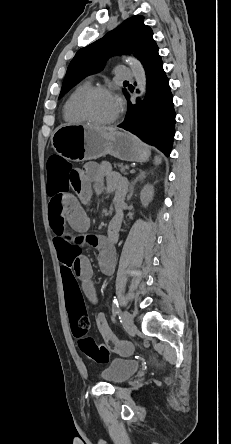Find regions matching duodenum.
Listing matches in <instances>:
<instances>
[{
  "label": "duodenum",
  "instance_id": "obj_1",
  "mask_svg": "<svg viewBox=\"0 0 231 444\" xmlns=\"http://www.w3.org/2000/svg\"><path fill=\"white\" fill-rule=\"evenodd\" d=\"M119 218H120L119 213L116 212L114 217H113V219H112V221H111L112 224H115L118 221Z\"/></svg>",
  "mask_w": 231,
  "mask_h": 444
}]
</instances>
